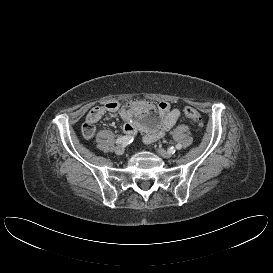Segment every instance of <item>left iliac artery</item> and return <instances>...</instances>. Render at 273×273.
Listing matches in <instances>:
<instances>
[{"mask_svg": "<svg viewBox=\"0 0 273 273\" xmlns=\"http://www.w3.org/2000/svg\"><path fill=\"white\" fill-rule=\"evenodd\" d=\"M182 148V145L181 144H177L176 146H175V149H177V150H180ZM175 149L173 148V147H171L170 149H169V152L170 153H174L175 152Z\"/></svg>", "mask_w": 273, "mask_h": 273, "instance_id": "obj_1", "label": "left iliac artery"}]
</instances>
